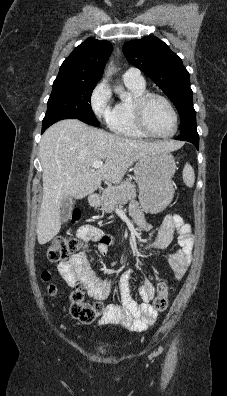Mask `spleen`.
<instances>
[{"mask_svg": "<svg viewBox=\"0 0 227 396\" xmlns=\"http://www.w3.org/2000/svg\"><path fill=\"white\" fill-rule=\"evenodd\" d=\"M183 181L189 188L193 187L195 182V173L190 164H186L183 169Z\"/></svg>", "mask_w": 227, "mask_h": 396, "instance_id": "spleen-1", "label": "spleen"}]
</instances>
